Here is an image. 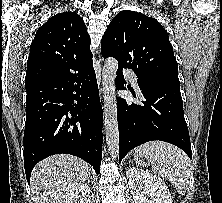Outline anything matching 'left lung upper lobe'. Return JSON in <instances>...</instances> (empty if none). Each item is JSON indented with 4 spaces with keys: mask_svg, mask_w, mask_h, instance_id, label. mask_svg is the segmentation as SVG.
I'll return each instance as SVG.
<instances>
[{
    "mask_svg": "<svg viewBox=\"0 0 222 203\" xmlns=\"http://www.w3.org/2000/svg\"><path fill=\"white\" fill-rule=\"evenodd\" d=\"M101 53L104 58H116L118 68L132 69L139 79L179 82L167 31L157 20L141 13L119 12L102 37Z\"/></svg>",
    "mask_w": 222,
    "mask_h": 203,
    "instance_id": "obj_1",
    "label": "left lung upper lobe"
}]
</instances>
